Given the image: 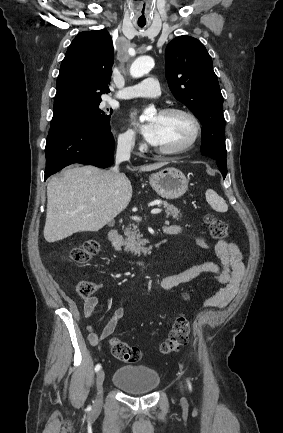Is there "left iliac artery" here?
I'll return each mask as SVG.
<instances>
[{"instance_id": "1", "label": "left iliac artery", "mask_w": 283, "mask_h": 433, "mask_svg": "<svg viewBox=\"0 0 283 433\" xmlns=\"http://www.w3.org/2000/svg\"><path fill=\"white\" fill-rule=\"evenodd\" d=\"M188 385H189V389L191 390L192 387H191V383L189 381H188Z\"/></svg>"}]
</instances>
